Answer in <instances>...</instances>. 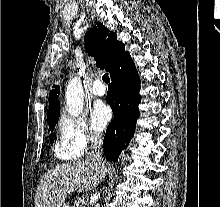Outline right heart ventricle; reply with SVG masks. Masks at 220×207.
<instances>
[{"label": "right heart ventricle", "instance_id": "right-heart-ventricle-1", "mask_svg": "<svg viewBox=\"0 0 220 207\" xmlns=\"http://www.w3.org/2000/svg\"><path fill=\"white\" fill-rule=\"evenodd\" d=\"M53 151L55 157L62 161H72L82 155L79 151L67 146L61 139L54 142Z\"/></svg>", "mask_w": 220, "mask_h": 207}]
</instances>
